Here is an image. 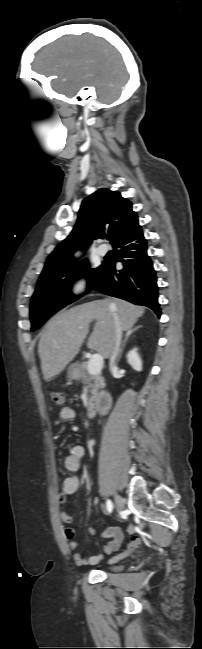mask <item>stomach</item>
<instances>
[{
    "instance_id": "0dacf381",
    "label": "stomach",
    "mask_w": 202,
    "mask_h": 649,
    "mask_svg": "<svg viewBox=\"0 0 202 649\" xmlns=\"http://www.w3.org/2000/svg\"><path fill=\"white\" fill-rule=\"evenodd\" d=\"M78 368L77 365H71L68 370V376L70 379H77L78 377Z\"/></svg>"
}]
</instances>
